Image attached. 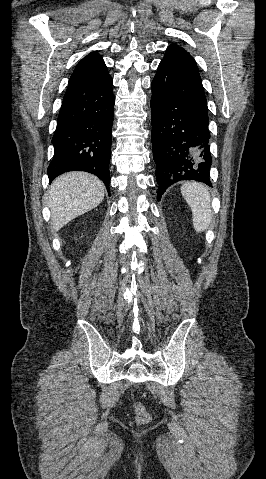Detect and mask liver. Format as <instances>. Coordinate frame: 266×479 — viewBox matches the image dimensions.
Instances as JSON below:
<instances>
[{
    "mask_svg": "<svg viewBox=\"0 0 266 479\" xmlns=\"http://www.w3.org/2000/svg\"><path fill=\"white\" fill-rule=\"evenodd\" d=\"M104 189L102 181L89 173L70 172L57 177L48 197L53 231L97 207L104 199Z\"/></svg>",
    "mask_w": 266,
    "mask_h": 479,
    "instance_id": "liver-1",
    "label": "liver"
}]
</instances>
